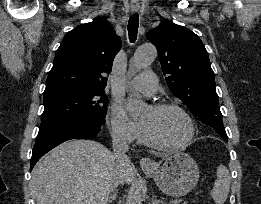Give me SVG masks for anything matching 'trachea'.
Here are the masks:
<instances>
[{
	"label": "trachea",
	"instance_id": "1",
	"mask_svg": "<svg viewBox=\"0 0 261 204\" xmlns=\"http://www.w3.org/2000/svg\"><path fill=\"white\" fill-rule=\"evenodd\" d=\"M138 25H139V16L138 14H134L130 17L128 22V35L131 43H134L137 39Z\"/></svg>",
	"mask_w": 261,
	"mask_h": 204
}]
</instances>
